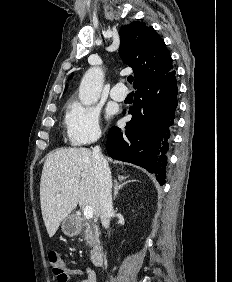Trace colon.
<instances>
[{"mask_svg": "<svg viewBox=\"0 0 232 282\" xmlns=\"http://www.w3.org/2000/svg\"><path fill=\"white\" fill-rule=\"evenodd\" d=\"M48 260L49 264L52 270L53 275L56 276L57 279H65L66 278V272H65V265L58 255L57 252L55 251H50L48 253Z\"/></svg>", "mask_w": 232, "mask_h": 282, "instance_id": "5ec220e1", "label": "colon"}]
</instances>
